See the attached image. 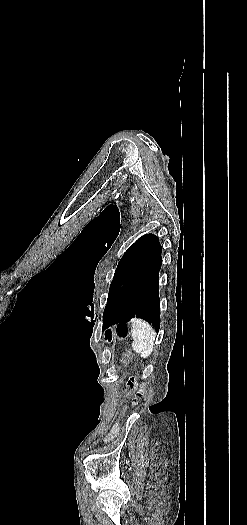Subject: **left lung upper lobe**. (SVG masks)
<instances>
[{
  "label": "left lung upper lobe",
  "instance_id": "obj_1",
  "mask_svg": "<svg viewBox=\"0 0 247 525\" xmlns=\"http://www.w3.org/2000/svg\"><path fill=\"white\" fill-rule=\"evenodd\" d=\"M161 249L159 239L153 234L140 237L125 252L115 271L104 310L103 319L111 306L133 282L149 267Z\"/></svg>",
  "mask_w": 247,
  "mask_h": 525
}]
</instances>
